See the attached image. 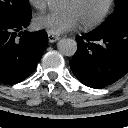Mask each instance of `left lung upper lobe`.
<instances>
[{
    "label": "left lung upper lobe",
    "mask_w": 128,
    "mask_h": 128,
    "mask_svg": "<svg viewBox=\"0 0 128 128\" xmlns=\"http://www.w3.org/2000/svg\"><path fill=\"white\" fill-rule=\"evenodd\" d=\"M124 22H128V0H116L113 14L97 30H105Z\"/></svg>",
    "instance_id": "5c2ea615"
}]
</instances>
